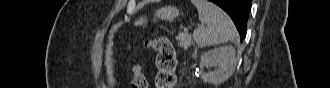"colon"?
I'll return each instance as SVG.
<instances>
[{
    "label": "colon",
    "instance_id": "obj_1",
    "mask_svg": "<svg viewBox=\"0 0 330 88\" xmlns=\"http://www.w3.org/2000/svg\"><path fill=\"white\" fill-rule=\"evenodd\" d=\"M147 47L156 52L157 88H173L176 82V60L174 48L170 40L159 36L145 41ZM132 88H147V83L139 65L133 67Z\"/></svg>",
    "mask_w": 330,
    "mask_h": 88
}]
</instances>
